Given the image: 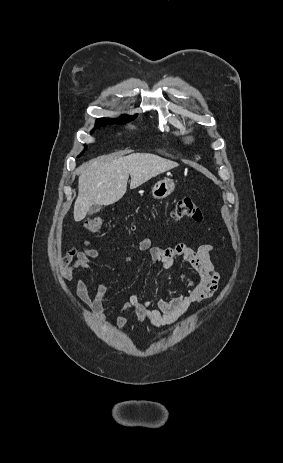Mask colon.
Listing matches in <instances>:
<instances>
[{
	"instance_id": "5ec220e1",
	"label": "colon",
	"mask_w": 283,
	"mask_h": 463,
	"mask_svg": "<svg viewBox=\"0 0 283 463\" xmlns=\"http://www.w3.org/2000/svg\"><path fill=\"white\" fill-rule=\"evenodd\" d=\"M171 216L175 220L190 219L194 221H201L203 214L200 208L189 199L184 198L176 202ZM85 228L93 233H97L102 229L103 219L100 217L88 218L84 221Z\"/></svg>"
}]
</instances>
